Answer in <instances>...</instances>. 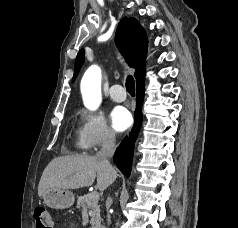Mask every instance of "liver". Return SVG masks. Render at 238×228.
Masks as SVG:
<instances>
[{"label":"liver","instance_id":"6515ba94","mask_svg":"<svg viewBox=\"0 0 238 228\" xmlns=\"http://www.w3.org/2000/svg\"><path fill=\"white\" fill-rule=\"evenodd\" d=\"M95 178L96 187L104 191L115 181L117 172L97 156L57 157L44 169L38 185V195L42 197L50 188L68 190L91 186Z\"/></svg>","mask_w":238,"mask_h":228}]
</instances>
